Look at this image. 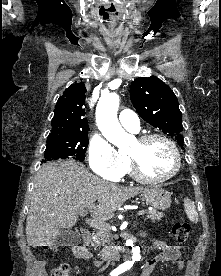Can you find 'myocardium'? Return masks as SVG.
I'll use <instances>...</instances> for the list:
<instances>
[{"instance_id":"obj_1","label":"myocardium","mask_w":221,"mask_h":276,"mask_svg":"<svg viewBox=\"0 0 221 276\" xmlns=\"http://www.w3.org/2000/svg\"><path fill=\"white\" fill-rule=\"evenodd\" d=\"M155 139L162 140L170 146V148L173 152L174 158H175V166H174V169L172 170V172L166 176L151 177L144 173V171L142 170V168L136 158H134L133 156H129L132 173L138 180H140L142 182L162 183V182H165V181H168V180L174 178L179 173V171L181 169V154H180L179 148L170 137H168L164 134L152 133V134H146V135L141 136L138 139V142L140 144H145V143L155 140Z\"/></svg>"}]
</instances>
